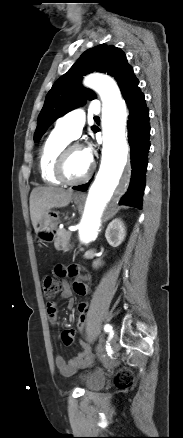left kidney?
Masks as SVG:
<instances>
[{
  "label": "left kidney",
  "mask_w": 183,
  "mask_h": 438,
  "mask_svg": "<svg viewBox=\"0 0 183 438\" xmlns=\"http://www.w3.org/2000/svg\"><path fill=\"white\" fill-rule=\"evenodd\" d=\"M126 229L124 223L121 219L116 218L112 220L107 226L105 237L107 242L114 247L119 246L125 239ZM100 260H96L93 262V267L97 268L101 265Z\"/></svg>",
  "instance_id": "obj_1"
}]
</instances>
